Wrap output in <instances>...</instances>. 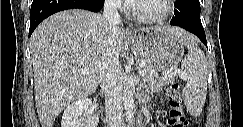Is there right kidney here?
Returning <instances> with one entry per match:
<instances>
[{"label":"right kidney","instance_id":"obj_1","mask_svg":"<svg viewBox=\"0 0 243 127\" xmlns=\"http://www.w3.org/2000/svg\"><path fill=\"white\" fill-rule=\"evenodd\" d=\"M92 101L80 98L69 104L64 110L62 127H97L99 117L91 112Z\"/></svg>","mask_w":243,"mask_h":127}]
</instances>
